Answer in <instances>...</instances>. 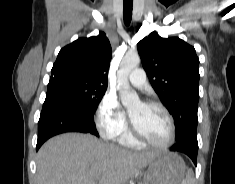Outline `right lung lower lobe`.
Wrapping results in <instances>:
<instances>
[{"instance_id": "right-lung-lower-lobe-1", "label": "right lung lower lobe", "mask_w": 235, "mask_h": 184, "mask_svg": "<svg viewBox=\"0 0 235 184\" xmlns=\"http://www.w3.org/2000/svg\"><path fill=\"white\" fill-rule=\"evenodd\" d=\"M93 115L56 90L47 91L38 122L36 151L49 138L65 132L91 133L99 137Z\"/></svg>"}]
</instances>
